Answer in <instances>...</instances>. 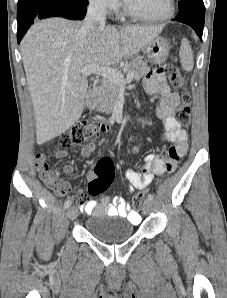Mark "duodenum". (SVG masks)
<instances>
[{"label":"duodenum","instance_id":"obj_1","mask_svg":"<svg viewBox=\"0 0 227 298\" xmlns=\"http://www.w3.org/2000/svg\"><path fill=\"white\" fill-rule=\"evenodd\" d=\"M98 101V92L96 89H91L86 95V106L89 109H93L96 107ZM99 128L102 131H106L108 126L105 123H99Z\"/></svg>","mask_w":227,"mask_h":298}]
</instances>
